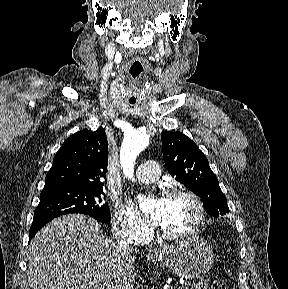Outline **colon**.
<instances>
[{
	"label": "colon",
	"mask_w": 288,
	"mask_h": 289,
	"mask_svg": "<svg viewBox=\"0 0 288 289\" xmlns=\"http://www.w3.org/2000/svg\"><path fill=\"white\" fill-rule=\"evenodd\" d=\"M211 289H228L223 279H215L211 284Z\"/></svg>",
	"instance_id": "1"
}]
</instances>
